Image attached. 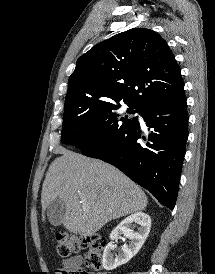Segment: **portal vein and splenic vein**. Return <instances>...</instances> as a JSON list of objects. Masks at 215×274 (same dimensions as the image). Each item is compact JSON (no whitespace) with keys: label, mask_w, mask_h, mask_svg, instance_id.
I'll use <instances>...</instances> for the list:
<instances>
[{"label":"portal vein and splenic vein","mask_w":215,"mask_h":274,"mask_svg":"<svg viewBox=\"0 0 215 274\" xmlns=\"http://www.w3.org/2000/svg\"><path fill=\"white\" fill-rule=\"evenodd\" d=\"M80 199L84 200L85 199V195L80 193Z\"/></svg>","instance_id":"portal-vein-and-splenic-vein-1"}]
</instances>
